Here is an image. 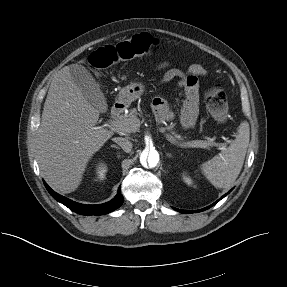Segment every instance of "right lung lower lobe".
Instances as JSON below:
<instances>
[{
	"label": "right lung lower lobe",
	"mask_w": 287,
	"mask_h": 287,
	"mask_svg": "<svg viewBox=\"0 0 287 287\" xmlns=\"http://www.w3.org/2000/svg\"><path fill=\"white\" fill-rule=\"evenodd\" d=\"M44 185L53 198H55L57 201L67 206L70 210L81 215L107 214V213L114 211L118 207H120L121 204L123 203V197L120 194V188L115 198L107 203L99 204V205H85V204L74 202L68 198H65L57 194L45 182H44Z\"/></svg>",
	"instance_id": "obj_1"
}]
</instances>
